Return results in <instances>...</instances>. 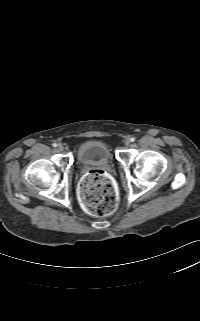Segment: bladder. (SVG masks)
Segmentation results:
<instances>
[{
    "mask_svg": "<svg viewBox=\"0 0 200 321\" xmlns=\"http://www.w3.org/2000/svg\"><path fill=\"white\" fill-rule=\"evenodd\" d=\"M76 155L80 164L109 163L113 159L111 146L99 139H91L82 143Z\"/></svg>",
    "mask_w": 200,
    "mask_h": 321,
    "instance_id": "31cf9c89",
    "label": "bladder"
}]
</instances>
